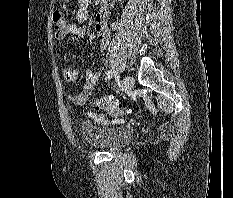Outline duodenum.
<instances>
[{"label": "duodenum", "instance_id": "1", "mask_svg": "<svg viewBox=\"0 0 233 198\" xmlns=\"http://www.w3.org/2000/svg\"><path fill=\"white\" fill-rule=\"evenodd\" d=\"M102 1H103V6H104L105 8L111 7L112 4H113V2H114V0H102Z\"/></svg>", "mask_w": 233, "mask_h": 198}]
</instances>
